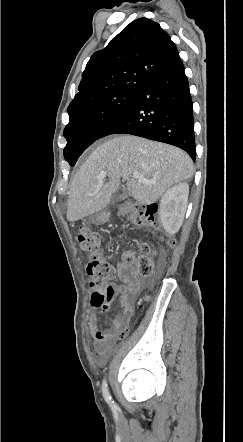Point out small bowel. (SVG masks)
Wrapping results in <instances>:
<instances>
[{"mask_svg":"<svg viewBox=\"0 0 243 442\" xmlns=\"http://www.w3.org/2000/svg\"><path fill=\"white\" fill-rule=\"evenodd\" d=\"M116 275L121 280V285H113L114 296L119 295V305L123 310V319H127L131 316L133 311V304L137 295L144 285V281L136 274L135 269L132 266H127L122 263H118L116 267ZM107 305H104L101 309L106 310ZM97 308L93 306L89 312V325L90 331L95 338V350L97 353L98 361H104L109 355L110 342L104 338V331L99 328L97 320ZM116 331V328L114 327Z\"/></svg>","mask_w":243,"mask_h":442,"instance_id":"1","label":"small bowel"}]
</instances>
